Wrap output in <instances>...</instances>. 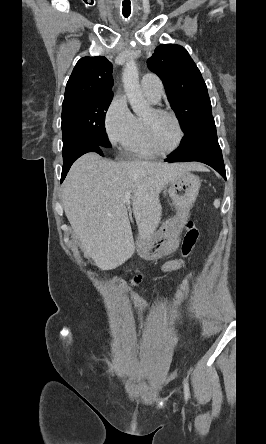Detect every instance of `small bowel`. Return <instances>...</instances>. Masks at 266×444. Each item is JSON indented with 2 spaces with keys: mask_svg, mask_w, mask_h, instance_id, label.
<instances>
[{
  "mask_svg": "<svg viewBox=\"0 0 266 444\" xmlns=\"http://www.w3.org/2000/svg\"><path fill=\"white\" fill-rule=\"evenodd\" d=\"M197 238H198L197 229L193 226L192 223H188L187 231L181 243V257L165 263L162 266V271L164 273L171 274L177 270L185 268L186 259L190 256L196 244ZM141 280H142V275L139 274L132 279L131 283L133 285H138L141 282Z\"/></svg>",
  "mask_w": 266,
  "mask_h": 444,
  "instance_id": "obj_1",
  "label": "small bowel"
}]
</instances>
